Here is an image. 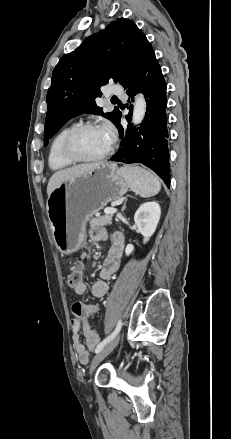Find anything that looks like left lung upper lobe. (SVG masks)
Instances as JSON below:
<instances>
[{"label": "left lung upper lobe", "mask_w": 231, "mask_h": 439, "mask_svg": "<svg viewBox=\"0 0 231 439\" xmlns=\"http://www.w3.org/2000/svg\"><path fill=\"white\" fill-rule=\"evenodd\" d=\"M150 46L134 22L120 18L64 55L53 70L47 92L44 145L68 120L82 113L102 115L115 124L119 110L104 113L95 98L110 80L124 85Z\"/></svg>", "instance_id": "5c2ea615"}]
</instances>
